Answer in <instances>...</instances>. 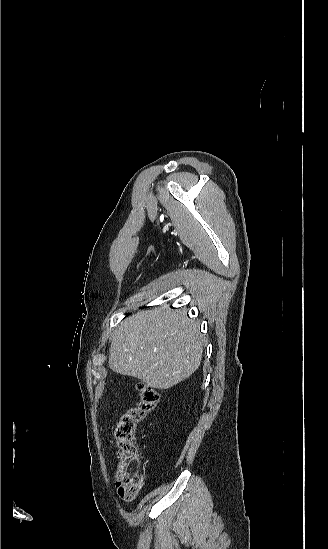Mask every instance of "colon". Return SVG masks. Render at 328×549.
Here are the masks:
<instances>
[{"label": "colon", "instance_id": "obj_1", "mask_svg": "<svg viewBox=\"0 0 328 549\" xmlns=\"http://www.w3.org/2000/svg\"><path fill=\"white\" fill-rule=\"evenodd\" d=\"M140 402L119 419L114 438L119 449L117 488L119 496L133 500L140 492L144 477L140 471L139 450L135 441L137 426L152 412L159 402V392L144 383L137 386Z\"/></svg>", "mask_w": 328, "mask_h": 549}]
</instances>
